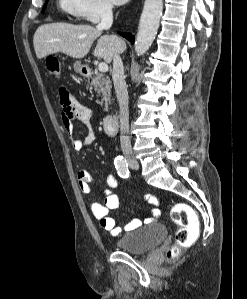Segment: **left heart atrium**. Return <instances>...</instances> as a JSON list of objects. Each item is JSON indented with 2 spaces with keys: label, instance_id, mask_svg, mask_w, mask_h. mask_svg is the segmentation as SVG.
I'll return each mask as SVG.
<instances>
[{
  "label": "left heart atrium",
  "instance_id": "obj_1",
  "mask_svg": "<svg viewBox=\"0 0 247 299\" xmlns=\"http://www.w3.org/2000/svg\"><path fill=\"white\" fill-rule=\"evenodd\" d=\"M111 1L116 5H121V4L126 3L129 0H111Z\"/></svg>",
  "mask_w": 247,
  "mask_h": 299
}]
</instances>
